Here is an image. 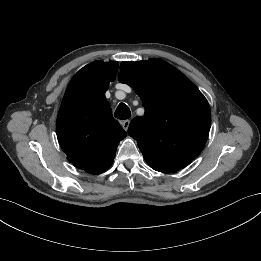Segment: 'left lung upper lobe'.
I'll list each match as a JSON object with an SVG mask.
<instances>
[{"label":"left lung upper lobe","mask_w":261,"mask_h":261,"mask_svg":"<svg viewBox=\"0 0 261 261\" xmlns=\"http://www.w3.org/2000/svg\"><path fill=\"white\" fill-rule=\"evenodd\" d=\"M119 81L142 100L145 117L128 129L144 159L154 170L175 172L200 154L209 135V104L179 70L161 59L122 62Z\"/></svg>","instance_id":"left-lung-upper-lobe-1"}]
</instances>
